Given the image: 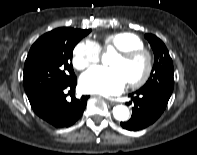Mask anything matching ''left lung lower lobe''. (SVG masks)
Returning a JSON list of instances; mask_svg holds the SVG:
<instances>
[{
    "label": "left lung lower lobe",
    "instance_id": "0a47b994",
    "mask_svg": "<svg viewBox=\"0 0 197 155\" xmlns=\"http://www.w3.org/2000/svg\"><path fill=\"white\" fill-rule=\"evenodd\" d=\"M129 96L134 101L131 119L121 122V126L130 131L146 128L154 123L165 110L170 96L157 91L138 90Z\"/></svg>",
    "mask_w": 197,
    "mask_h": 155
}]
</instances>
